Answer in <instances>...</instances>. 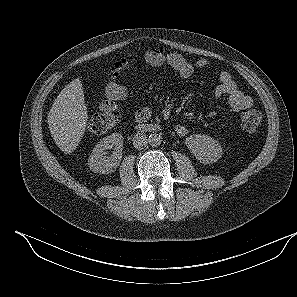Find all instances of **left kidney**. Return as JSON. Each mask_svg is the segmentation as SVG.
<instances>
[{
    "instance_id": "left-kidney-1",
    "label": "left kidney",
    "mask_w": 297,
    "mask_h": 297,
    "mask_svg": "<svg viewBox=\"0 0 297 297\" xmlns=\"http://www.w3.org/2000/svg\"><path fill=\"white\" fill-rule=\"evenodd\" d=\"M185 144L196 159L204 164L217 162L223 154L219 142L208 135H191L186 138Z\"/></svg>"
}]
</instances>
